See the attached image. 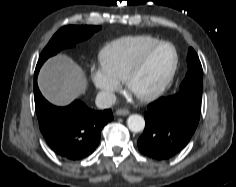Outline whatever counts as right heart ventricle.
<instances>
[{
	"label": "right heart ventricle",
	"instance_id": "obj_1",
	"mask_svg": "<svg viewBox=\"0 0 236 187\" xmlns=\"http://www.w3.org/2000/svg\"><path fill=\"white\" fill-rule=\"evenodd\" d=\"M159 40L150 35L118 38L99 52L101 66L120 81H124L141 54Z\"/></svg>",
	"mask_w": 236,
	"mask_h": 187
}]
</instances>
